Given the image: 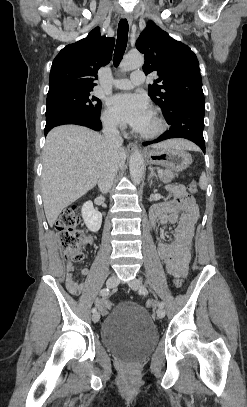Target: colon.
Listing matches in <instances>:
<instances>
[{
    "label": "colon",
    "mask_w": 247,
    "mask_h": 407,
    "mask_svg": "<svg viewBox=\"0 0 247 407\" xmlns=\"http://www.w3.org/2000/svg\"><path fill=\"white\" fill-rule=\"evenodd\" d=\"M187 188L191 194H195L198 190L197 182H190ZM78 223L77 206L71 205L61 212L55 224V229L66 259L76 262L81 261L84 257L82 246L85 239L84 232L78 228ZM182 283V278L174 280V286L177 288L181 287ZM154 304V299L146 301L147 307H152Z\"/></svg>",
    "instance_id": "5ec220e1"
}]
</instances>
